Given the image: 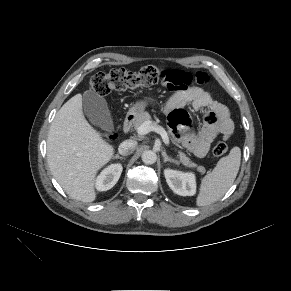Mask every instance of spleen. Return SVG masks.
<instances>
[{"instance_id":"3e777b00","label":"spleen","mask_w":291,"mask_h":291,"mask_svg":"<svg viewBox=\"0 0 291 291\" xmlns=\"http://www.w3.org/2000/svg\"><path fill=\"white\" fill-rule=\"evenodd\" d=\"M241 163V150L233 147L230 153L222 157L212 172L201 181L197 206L210 205L224 196L232 186Z\"/></svg>"}]
</instances>
